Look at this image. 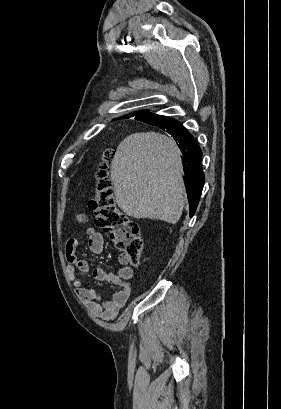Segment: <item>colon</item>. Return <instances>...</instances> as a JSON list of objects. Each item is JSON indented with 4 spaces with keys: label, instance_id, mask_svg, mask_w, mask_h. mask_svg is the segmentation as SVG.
I'll list each match as a JSON object with an SVG mask.
<instances>
[{
    "label": "colon",
    "instance_id": "obj_1",
    "mask_svg": "<svg viewBox=\"0 0 281 409\" xmlns=\"http://www.w3.org/2000/svg\"><path fill=\"white\" fill-rule=\"evenodd\" d=\"M109 158L110 152L106 151L96 174L95 196L91 202L95 225L112 236L123 262L137 265L143 248L140 227L116 205L113 182L105 166Z\"/></svg>",
    "mask_w": 281,
    "mask_h": 409
}]
</instances>
